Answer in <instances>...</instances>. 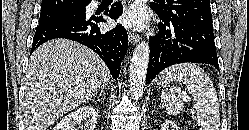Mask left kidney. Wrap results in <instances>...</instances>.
<instances>
[{"label":"left kidney","instance_id":"5707ae66","mask_svg":"<svg viewBox=\"0 0 249 130\" xmlns=\"http://www.w3.org/2000/svg\"><path fill=\"white\" fill-rule=\"evenodd\" d=\"M161 130H179V127L172 120H166L161 125Z\"/></svg>","mask_w":249,"mask_h":130}]
</instances>
